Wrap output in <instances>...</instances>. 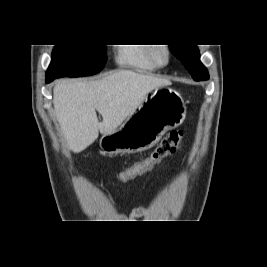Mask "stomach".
Instances as JSON below:
<instances>
[{
	"mask_svg": "<svg viewBox=\"0 0 267 267\" xmlns=\"http://www.w3.org/2000/svg\"><path fill=\"white\" fill-rule=\"evenodd\" d=\"M184 118L185 106L180 95L166 87L156 88L118 130L102 136V149L110 155L147 150L168 130L179 126Z\"/></svg>",
	"mask_w": 267,
	"mask_h": 267,
	"instance_id": "0dacf381",
	"label": "stomach"
}]
</instances>
